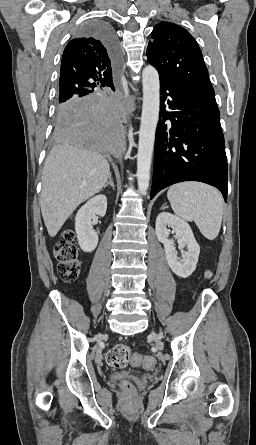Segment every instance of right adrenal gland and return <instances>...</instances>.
Here are the masks:
<instances>
[{"instance_id": "right-adrenal-gland-1", "label": "right adrenal gland", "mask_w": 256, "mask_h": 445, "mask_svg": "<svg viewBox=\"0 0 256 445\" xmlns=\"http://www.w3.org/2000/svg\"><path fill=\"white\" fill-rule=\"evenodd\" d=\"M111 173L109 174V177H108V179H109V181L103 186V188H106L107 186H111L113 189H115V186H114V182H113V180H112V177H111Z\"/></svg>"}]
</instances>
